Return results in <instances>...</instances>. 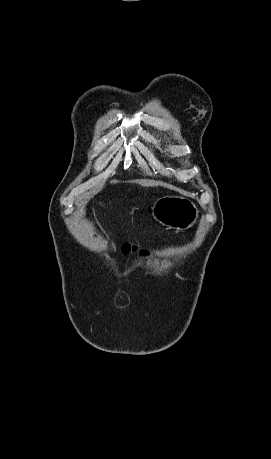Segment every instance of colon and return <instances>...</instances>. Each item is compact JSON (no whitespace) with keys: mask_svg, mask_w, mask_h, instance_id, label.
<instances>
[{"mask_svg":"<svg viewBox=\"0 0 271 459\" xmlns=\"http://www.w3.org/2000/svg\"><path fill=\"white\" fill-rule=\"evenodd\" d=\"M135 250H136V247L130 245L129 243H124V244L122 245V252H123L124 254H128V253L133 252V251H135Z\"/></svg>","mask_w":271,"mask_h":459,"instance_id":"5ec220e1","label":"colon"}]
</instances>
